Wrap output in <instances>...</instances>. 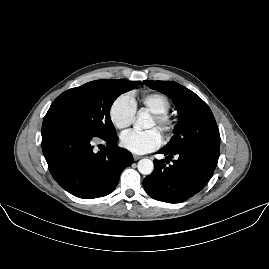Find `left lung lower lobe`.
I'll use <instances>...</instances> for the list:
<instances>
[{
  "instance_id": "left-lung-lower-lobe-1",
  "label": "left lung lower lobe",
  "mask_w": 269,
  "mask_h": 269,
  "mask_svg": "<svg viewBox=\"0 0 269 269\" xmlns=\"http://www.w3.org/2000/svg\"><path fill=\"white\" fill-rule=\"evenodd\" d=\"M157 153L166 155V160H154V171L143 180V186L152 198L167 203H179L200 192L212 177L219 157L206 150L165 147ZM174 156L176 160L170 163Z\"/></svg>"
}]
</instances>
